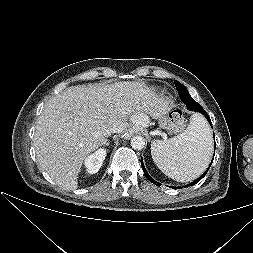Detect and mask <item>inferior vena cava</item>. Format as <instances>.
<instances>
[{
	"mask_svg": "<svg viewBox=\"0 0 253 253\" xmlns=\"http://www.w3.org/2000/svg\"><path fill=\"white\" fill-rule=\"evenodd\" d=\"M116 132H120V129L110 128V129L106 130L107 135H110L111 133H116Z\"/></svg>",
	"mask_w": 253,
	"mask_h": 253,
	"instance_id": "602c4592",
	"label": "inferior vena cava"
}]
</instances>
